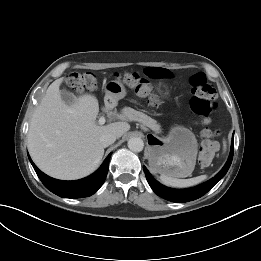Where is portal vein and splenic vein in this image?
<instances>
[{"instance_id": "portal-vein-and-splenic-vein-1", "label": "portal vein and splenic vein", "mask_w": 261, "mask_h": 261, "mask_svg": "<svg viewBox=\"0 0 261 261\" xmlns=\"http://www.w3.org/2000/svg\"><path fill=\"white\" fill-rule=\"evenodd\" d=\"M105 122H106V120H105L104 117H100L99 120H98V123H99L100 125L105 124Z\"/></svg>"}]
</instances>
